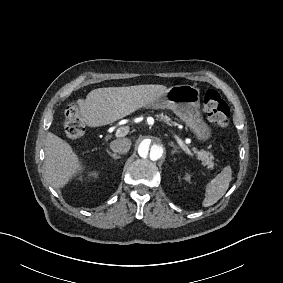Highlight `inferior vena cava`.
I'll return each mask as SVG.
<instances>
[{
	"mask_svg": "<svg viewBox=\"0 0 283 283\" xmlns=\"http://www.w3.org/2000/svg\"><path fill=\"white\" fill-rule=\"evenodd\" d=\"M110 148L114 153L126 154L131 148V140L128 138L113 141Z\"/></svg>",
	"mask_w": 283,
	"mask_h": 283,
	"instance_id": "602c4592",
	"label": "inferior vena cava"
}]
</instances>
